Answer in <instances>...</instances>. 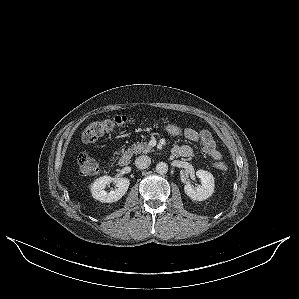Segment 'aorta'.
<instances>
[{
    "label": "aorta",
    "mask_w": 299,
    "mask_h": 299,
    "mask_svg": "<svg viewBox=\"0 0 299 299\" xmlns=\"http://www.w3.org/2000/svg\"><path fill=\"white\" fill-rule=\"evenodd\" d=\"M156 172L159 174H166L168 172V165L165 162H159L156 165Z\"/></svg>",
    "instance_id": "aorta-1"
}]
</instances>
